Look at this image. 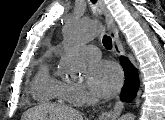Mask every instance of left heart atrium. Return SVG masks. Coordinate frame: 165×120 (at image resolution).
I'll return each mask as SVG.
<instances>
[{
	"instance_id": "obj_1",
	"label": "left heart atrium",
	"mask_w": 165,
	"mask_h": 120,
	"mask_svg": "<svg viewBox=\"0 0 165 120\" xmlns=\"http://www.w3.org/2000/svg\"><path fill=\"white\" fill-rule=\"evenodd\" d=\"M122 83L120 69L108 61L93 63L88 71L90 90L99 97H110L116 93Z\"/></svg>"
}]
</instances>
